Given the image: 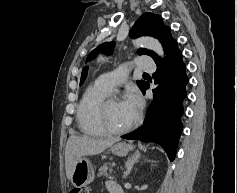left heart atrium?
Listing matches in <instances>:
<instances>
[{"mask_svg":"<svg viewBox=\"0 0 237 193\" xmlns=\"http://www.w3.org/2000/svg\"><path fill=\"white\" fill-rule=\"evenodd\" d=\"M124 103L131 112L133 119H136L142 108V99L139 93L137 91L130 92Z\"/></svg>","mask_w":237,"mask_h":193,"instance_id":"1","label":"left heart atrium"}]
</instances>
